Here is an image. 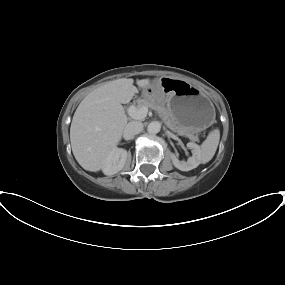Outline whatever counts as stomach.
Returning <instances> with one entry per match:
<instances>
[{"instance_id":"stomach-1","label":"stomach","mask_w":285,"mask_h":285,"mask_svg":"<svg viewBox=\"0 0 285 285\" xmlns=\"http://www.w3.org/2000/svg\"><path fill=\"white\" fill-rule=\"evenodd\" d=\"M142 96L161 105L166 103L174 126L187 132H201L214 122L210 99L184 80L162 77L144 88Z\"/></svg>"}]
</instances>
